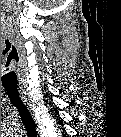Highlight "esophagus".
<instances>
[{"instance_id": "1", "label": "esophagus", "mask_w": 121, "mask_h": 137, "mask_svg": "<svg viewBox=\"0 0 121 137\" xmlns=\"http://www.w3.org/2000/svg\"><path fill=\"white\" fill-rule=\"evenodd\" d=\"M19 94H20V97H21L22 101L24 102V104L27 105L28 109L31 111L32 110V106H31V103H30V101L28 99L26 90L23 89L22 87H20Z\"/></svg>"}]
</instances>
